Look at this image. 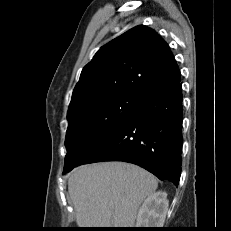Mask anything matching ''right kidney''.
Returning a JSON list of instances; mask_svg holds the SVG:
<instances>
[{
	"mask_svg": "<svg viewBox=\"0 0 231 231\" xmlns=\"http://www.w3.org/2000/svg\"><path fill=\"white\" fill-rule=\"evenodd\" d=\"M167 194L163 191L149 195L137 214V228H162L168 211Z\"/></svg>",
	"mask_w": 231,
	"mask_h": 231,
	"instance_id": "ca27d5eb",
	"label": "right kidney"
}]
</instances>
